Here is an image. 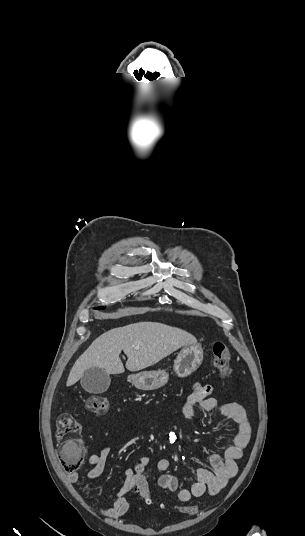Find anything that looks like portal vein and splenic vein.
I'll list each match as a JSON object with an SVG mask.
<instances>
[{"label": "portal vein and splenic vein", "mask_w": 305, "mask_h": 536, "mask_svg": "<svg viewBox=\"0 0 305 536\" xmlns=\"http://www.w3.org/2000/svg\"><path fill=\"white\" fill-rule=\"evenodd\" d=\"M134 350H139V346H136V348H134Z\"/></svg>", "instance_id": "portal-vein-and-splenic-vein-1"}]
</instances>
